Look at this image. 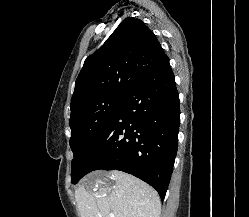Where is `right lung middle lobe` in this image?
<instances>
[{
    "label": "right lung middle lobe",
    "instance_id": "1",
    "mask_svg": "<svg viewBox=\"0 0 249 217\" xmlns=\"http://www.w3.org/2000/svg\"><path fill=\"white\" fill-rule=\"evenodd\" d=\"M124 98L125 95H104L86 101L71 110L69 124L72 131L70 147L74 154L71 167L73 184L82 177L79 167L86 153L107 127Z\"/></svg>",
    "mask_w": 249,
    "mask_h": 217
}]
</instances>
